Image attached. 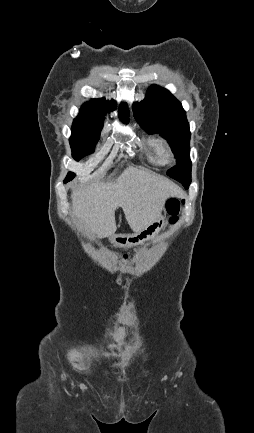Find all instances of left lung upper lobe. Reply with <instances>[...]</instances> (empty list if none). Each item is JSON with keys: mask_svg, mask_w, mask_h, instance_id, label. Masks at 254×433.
Returning <instances> with one entry per match:
<instances>
[{"mask_svg": "<svg viewBox=\"0 0 254 433\" xmlns=\"http://www.w3.org/2000/svg\"><path fill=\"white\" fill-rule=\"evenodd\" d=\"M136 120L148 133L164 137L176 157L177 164L168 170V176L189 187L191 183L190 130L181 103L172 94L152 85L145 99L134 103Z\"/></svg>", "mask_w": 254, "mask_h": 433, "instance_id": "5c2ea615", "label": "left lung upper lobe"}]
</instances>
